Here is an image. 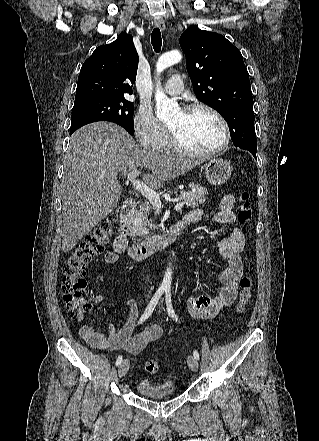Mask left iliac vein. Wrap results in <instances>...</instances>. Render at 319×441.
I'll list each match as a JSON object with an SVG mask.
<instances>
[{
  "label": "left iliac vein",
  "mask_w": 319,
  "mask_h": 441,
  "mask_svg": "<svg viewBox=\"0 0 319 441\" xmlns=\"http://www.w3.org/2000/svg\"><path fill=\"white\" fill-rule=\"evenodd\" d=\"M187 363H188V366H189V368L191 370H193V371H197L198 370V366L199 365H198V361H197V359H195V357L188 356Z\"/></svg>",
  "instance_id": "1"
}]
</instances>
